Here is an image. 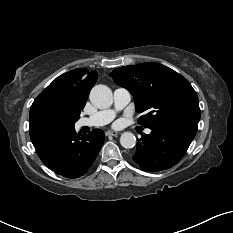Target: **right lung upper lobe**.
<instances>
[{
	"label": "right lung upper lobe",
	"instance_id": "1",
	"mask_svg": "<svg viewBox=\"0 0 233 233\" xmlns=\"http://www.w3.org/2000/svg\"><path fill=\"white\" fill-rule=\"evenodd\" d=\"M96 71L86 72L78 68L66 72L52 81L34 100L30 111L44 100H55L73 112L80 114L84 108L89 92L97 80Z\"/></svg>",
	"mask_w": 233,
	"mask_h": 233
}]
</instances>
